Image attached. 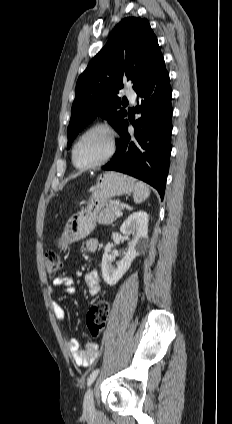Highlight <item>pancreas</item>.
<instances>
[{
  "label": "pancreas",
  "instance_id": "obj_1",
  "mask_svg": "<svg viewBox=\"0 0 232 424\" xmlns=\"http://www.w3.org/2000/svg\"><path fill=\"white\" fill-rule=\"evenodd\" d=\"M117 210H120V208L116 205H113V204L106 205V207L103 208L96 216V221L99 224H104V225L112 224L117 219V216L115 215V212Z\"/></svg>",
  "mask_w": 232,
  "mask_h": 424
}]
</instances>
